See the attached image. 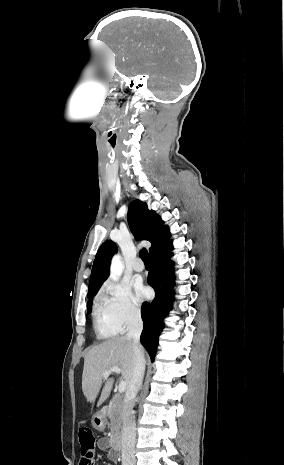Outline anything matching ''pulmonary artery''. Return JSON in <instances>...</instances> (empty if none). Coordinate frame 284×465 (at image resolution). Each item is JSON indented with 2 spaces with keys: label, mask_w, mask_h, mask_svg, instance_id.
I'll return each instance as SVG.
<instances>
[{
  "label": "pulmonary artery",
  "mask_w": 284,
  "mask_h": 465,
  "mask_svg": "<svg viewBox=\"0 0 284 465\" xmlns=\"http://www.w3.org/2000/svg\"><path fill=\"white\" fill-rule=\"evenodd\" d=\"M132 267H133V270H134L135 272H141V271L144 270V264H143V262H142L141 260H139V259H137V260L133 263Z\"/></svg>",
  "instance_id": "1"
}]
</instances>
